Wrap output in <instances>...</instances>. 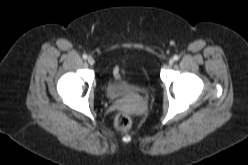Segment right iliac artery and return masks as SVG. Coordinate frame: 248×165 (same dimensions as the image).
I'll return each mask as SVG.
<instances>
[{"mask_svg": "<svg viewBox=\"0 0 248 165\" xmlns=\"http://www.w3.org/2000/svg\"><path fill=\"white\" fill-rule=\"evenodd\" d=\"M83 59H87V55L86 54H83Z\"/></svg>", "mask_w": 248, "mask_h": 165, "instance_id": "right-iliac-artery-1", "label": "right iliac artery"}]
</instances>
